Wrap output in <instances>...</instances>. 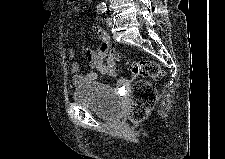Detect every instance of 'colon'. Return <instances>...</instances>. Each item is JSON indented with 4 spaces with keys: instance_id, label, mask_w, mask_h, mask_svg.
<instances>
[{
    "instance_id": "obj_1",
    "label": "colon",
    "mask_w": 225,
    "mask_h": 159,
    "mask_svg": "<svg viewBox=\"0 0 225 159\" xmlns=\"http://www.w3.org/2000/svg\"><path fill=\"white\" fill-rule=\"evenodd\" d=\"M75 2L76 0H70ZM99 56L106 60L110 73H114L120 53L112 48L100 47ZM127 68L134 77L159 79L162 75L160 65L149 59H138L127 62ZM157 91L147 80H136L131 91V102L128 108V119L131 122H140L153 109Z\"/></svg>"
}]
</instances>
